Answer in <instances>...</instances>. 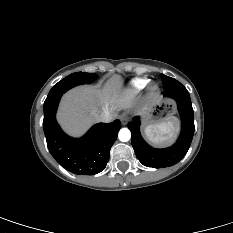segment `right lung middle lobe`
Segmentation results:
<instances>
[{
    "label": "right lung middle lobe",
    "instance_id": "1",
    "mask_svg": "<svg viewBox=\"0 0 233 233\" xmlns=\"http://www.w3.org/2000/svg\"><path fill=\"white\" fill-rule=\"evenodd\" d=\"M97 78L95 73L76 72L59 81L50 90L46 100L62 95L67 90L81 84L91 83Z\"/></svg>",
    "mask_w": 233,
    "mask_h": 233
}]
</instances>
